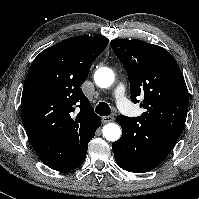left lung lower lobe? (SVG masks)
Masks as SVG:
<instances>
[{
  "instance_id": "obj_1",
  "label": "left lung lower lobe",
  "mask_w": 199,
  "mask_h": 199,
  "mask_svg": "<svg viewBox=\"0 0 199 199\" xmlns=\"http://www.w3.org/2000/svg\"><path fill=\"white\" fill-rule=\"evenodd\" d=\"M122 136L112 143L117 164L124 170L144 173L159 166L175 146L178 136L138 118L119 115Z\"/></svg>"
}]
</instances>
